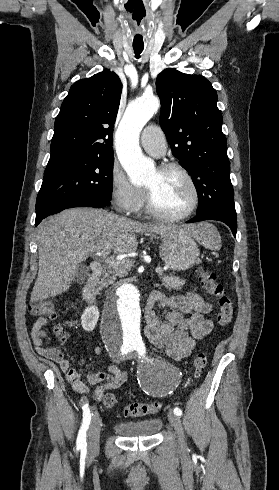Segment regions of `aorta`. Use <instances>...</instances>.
<instances>
[{
  "label": "aorta",
  "instance_id": "1",
  "mask_svg": "<svg viewBox=\"0 0 279 490\" xmlns=\"http://www.w3.org/2000/svg\"><path fill=\"white\" fill-rule=\"evenodd\" d=\"M159 107L160 101L156 96L135 100L128 105L116 131L118 159L135 184L145 182L154 171L153 161L143 155L139 146V135ZM141 324L138 288L132 284L119 286L109 294L103 310L101 332L109 349L123 354L142 344Z\"/></svg>",
  "mask_w": 279,
  "mask_h": 490
}]
</instances>
